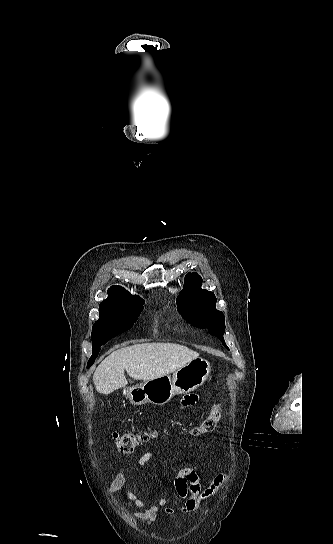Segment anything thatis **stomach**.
Returning <instances> with one entry per match:
<instances>
[{
    "label": "stomach",
    "instance_id": "obj_1",
    "mask_svg": "<svg viewBox=\"0 0 333 544\" xmlns=\"http://www.w3.org/2000/svg\"><path fill=\"white\" fill-rule=\"evenodd\" d=\"M210 371L211 366L207 360L196 358L175 371L172 377L164 375L128 388L126 396L133 405H164L176 394L196 390L206 381Z\"/></svg>",
    "mask_w": 333,
    "mask_h": 544
}]
</instances>
